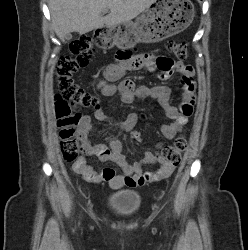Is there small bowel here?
<instances>
[{"label": "small bowel", "mask_w": 248, "mask_h": 250, "mask_svg": "<svg viewBox=\"0 0 248 250\" xmlns=\"http://www.w3.org/2000/svg\"><path fill=\"white\" fill-rule=\"evenodd\" d=\"M140 69L156 72L161 79H168L174 71L179 72L183 89L180 107H175L169 103L171 89L167 86H149L135 84L129 79L121 80L124 72ZM193 74L194 69L189 64L173 63L168 58L156 54L141 53L108 65L104 69L103 77L99 80L97 87L104 97L118 95L120 101L124 104H130L136 99L145 98L158 101L165 116L171 120L170 123L161 126V133L166 139H173L187 121L189 114L186 113V108H192L195 103ZM93 116L98 121L108 122L126 132H132L138 121V116L135 113L128 114L120 122L114 121L102 107H97L93 112ZM92 131V117L90 115L82 116L78 124L77 134L84 155H95L102 161L114 162L122 169L123 173L116 174L115 170L111 168L96 171L83 158L78 164L73 165V170L81 175L84 180L92 183L106 181L112 188L120 189L124 186L135 187L144 185L147 182L159 181L172 174L174 167L167 163L161 154L146 152L141 162L130 164L122 154V142L117 136H109L105 143L93 144L90 140ZM149 163L160 164L156 173L142 171V165Z\"/></svg>", "instance_id": "1"}]
</instances>
